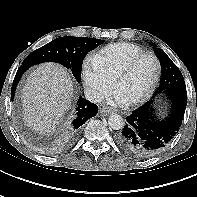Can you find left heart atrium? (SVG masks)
Returning <instances> with one entry per match:
<instances>
[{"label":"left heart atrium","mask_w":197,"mask_h":197,"mask_svg":"<svg viewBox=\"0 0 197 197\" xmlns=\"http://www.w3.org/2000/svg\"><path fill=\"white\" fill-rule=\"evenodd\" d=\"M109 101L117 104H124L126 101L122 98L117 90H115L109 97Z\"/></svg>","instance_id":"left-heart-atrium-1"}]
</instances>
